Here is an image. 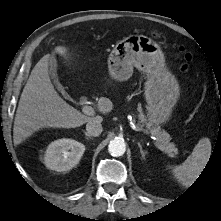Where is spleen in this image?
<instances>
[{
    "instance_id": "obj_1",
    "label": "spleen",
    "mask_w": 221,
    "mask_h": 221,
    "mask_svg": "<svg viewBox=\"0 0 221 221\" xmlns=\"http://www.w3.org/2000/svg\"><path fill=\"white\" fill-rule=\"evenodd\" d=\"M211 155V142L209 138H201L195 145L191 155L172 172L175 178L185 187L189 186L202 172Z\"/></svg>"
}]
</instances>
